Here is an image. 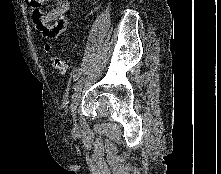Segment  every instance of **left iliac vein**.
<instances>
[{"label":"left iliac vein","instance_id":"left-iliac-vein-1","mask_svg":"<svg viewBox=\"0 0 221 174\" xmlns=\"http://www.w3.org/2000/svg\"><path fill=\"white\" fill-rule=\"evenodd\" d=\"M84 81H85L84 77H80L78 79V81L75 84L74 92L72 95L71 115H72L75 127H77V125H76V110H77V106L79 104V101L81 99V92H82V87H83Z\"/></svg>","mask_w":221,"mask_h":174}]
</instances>
